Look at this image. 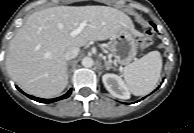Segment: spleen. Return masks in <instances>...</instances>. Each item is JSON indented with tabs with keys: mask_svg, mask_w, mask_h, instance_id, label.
Instances as JSON below:
<instances>
[{
	"mask_svg": "<svg viewBox=\"0 0 194 133\" xmlns=\"http://www.w3.org/2000/svg\"><path fill=\"white\" fill-rule=\"evenodd\" d=\"M162 69L158 51H151L129 64L123 71L128 90L135 96L150 93L157 85Z\"/></svg>",
	"mask_w": 194,
	"mask_h": 133,
	"instance_id": "3e777b00",
	"label": "spleen"
}]
</instances>
